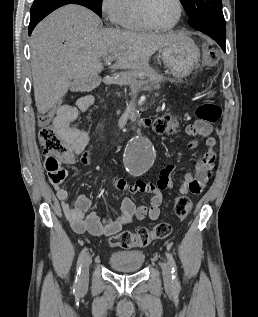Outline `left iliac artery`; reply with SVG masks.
I'll list each match as a JSON object with an SVG mask.
<instances>
[{
  "mask_svg": "<svg viewBox=\"0 0 258 317\" xmlns=\"http://www.w3.org/2000/svg\"><path fill=\"white\" fill-rule=\"evenodd\" d=\"M166 257H167V259L170 263V266H171V274H172V282H173L172 289H173V292L175 294H178L181 291V285H180V282L178 279L177 265H176V262H175V259L172 255V253L166 252Z\"/></svg>",
  "mask_w": 258,
  "mask_h": 317,
  "instance_id": "obj_1",
  "label": "left iliac artery"
}]
</instances>
